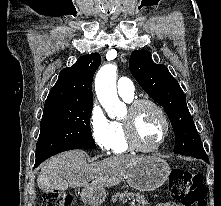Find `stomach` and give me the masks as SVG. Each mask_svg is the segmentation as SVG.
I'll list each match as a JSON object with an SVG mask.
<instances>
[{"mask_svg":"<svg viewBox=\"0 0 221 206\" xmlns=\"http://www.w3.org/2000/svg\"><path fill=\"white\" fill-rule=\"evenodd\" d=\"M171 169L165 160L156 156L141 158L136 165L126 174L127 184L141 192L154 191L161 187L169 178ZM84 203L98 206L106 198L103 187H89L82 191Z\"/></svg>","mask_w":221,"mask_h":206,"instance_id":"obj_1","label":"stomach"}]
</instances>
